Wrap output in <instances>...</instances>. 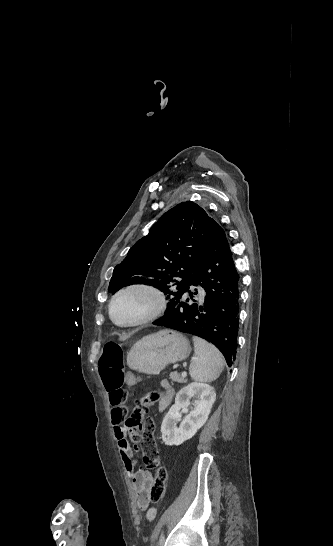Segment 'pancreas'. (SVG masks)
Returning <instances> with one entry per match:
<instances>
[{"instance_id": "obj_1", "label": "pancreas", "mask_w": 333, "mask_h": 546, "mask_svg": "<svg viewBox=\"0 0 333 546\" xmlns=\"http://www.w3.org/2000/svg\"><path fill=\"white\" fill-rule=\"evenodd\" d=\"M169 376H170V379L175 382H181V383L186 382V378L180 376L178 372H171Z\"/></svg>"}]
</instances>
